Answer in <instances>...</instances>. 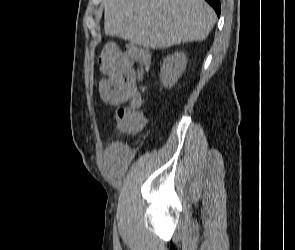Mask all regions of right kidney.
I'll return each instance as SVG.
<instances>
[{"mask_svg":"<svg viewBox=\"0 0 295 250\" xmlns=\"http://www.w3.org/2000/svg\"><path fill=\"white\" fill-rule=\"evenodd\" d=\"M187 65L186 57L183 53L175 52L168 55L161 66L160 79L165 88H171L181 77Z\"/></svg>","mask_w":295,"mask_h":250,"instance_id":"1","label":"right kidney"}]
</instances>
